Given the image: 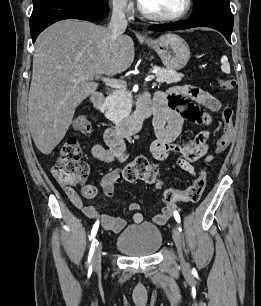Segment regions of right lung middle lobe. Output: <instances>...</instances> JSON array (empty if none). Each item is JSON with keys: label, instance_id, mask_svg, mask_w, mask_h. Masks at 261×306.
Returning a JSON list of instances; mask_svg holds the SVG:
<instances>
[{"label": "right lung middle lobe", "instance_id": "1", "mask_svg": "<svg viewBox=\"0 0 261 306\" xmlns=\"http://www.w3.org/2000/svg\"><path fill=\"white\" fill-rule=\"evenodd\" d=\"M90 1L108 7V0H90Z\"/></svg>", "mask_w": 261, "mask_h": 306}]
</instances>
